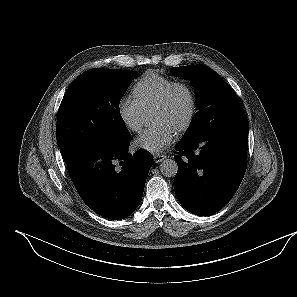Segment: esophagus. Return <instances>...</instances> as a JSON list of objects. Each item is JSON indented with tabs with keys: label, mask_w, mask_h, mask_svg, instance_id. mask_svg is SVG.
<instances>
[{
	"label": "esophagus",
	"mask_w": 297,
	"mask_h": 297,
	"mask_svg": "<svg viewBox=\"0 0 297 297\" xmlns=\"http://www.w3.org/2000/svg\"><path fill=\"white\" fill-rule=\"evenodd\" d=\"M165 158H166V156L164 154H158V155L153 156V160L155 163H159V162L163 161Z\"/></svg>",
	"instance_id": "34e87169"
}]
</instances>
